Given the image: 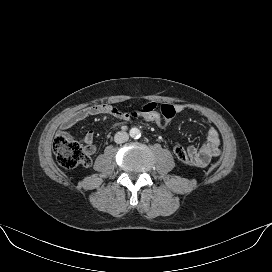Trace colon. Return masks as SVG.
I'll use <instances>...</instances> for the list:
<instances>
[{
	"label": "colon",
	"mask_w": 272,
	"mask_h": 272,
	"mask_svg": "<svg viewBox=\"0 0 272 272\" xmlns=\"http://www.w3.org/2000/svg\"><path fill=\"white\" fill-rule=\"evenodd\" d=\"M177 111L175 106L171 104H163L160 107L142 106L138 110L130 112V116L134 120H143L152 123L160 129L169 127ZM53 149L58 163L65 169H73L77 166H89L91 158L87 150L77 142L58 136L54 140ZM176 158L185 165L195 166L190 158L187 150L181 146L174 147Z\"/></svg>",
	"instance_id": "obj_1"
}]
</instances>
